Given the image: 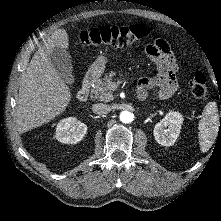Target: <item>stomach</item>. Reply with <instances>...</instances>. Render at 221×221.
I'll return each instance as SVG.
<instances>
[{
    "instance_id": "1",
    "label": "stomach",
    "mask_w": 221,
    "mask_h": 221,
    "mask_svg": "<svg viewBox=\"0 0 221 221\" xmlns=\"http://www.w3.org/2000/svg\"><path fill=\"white\" fill-rule=\"evenodd\" d=\"M108 59L106 56L100 55L96 61L90 66L89 73L93 76H100L105 70V64Z\"/></svg>"
}]
</instances>
